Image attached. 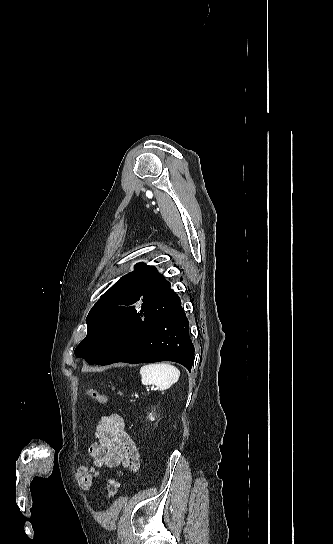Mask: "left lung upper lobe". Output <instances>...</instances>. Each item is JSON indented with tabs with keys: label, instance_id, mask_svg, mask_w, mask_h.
I'll list each match as a JSON object with an SVG mask.
<instances>
[{
	"label": "left lung upper lobe",
	"instance_id": "obj_1",
	"mask_svg": "<svg viewBox=\"0 0 333 544\" xmlns=\"http://www.w3.org/2000/svg\"><path fill=\"white\" fill-rule=\"evenodd\" d=\"M179 301L170 283L155 266L138 263L103 294L87 316L88 334L75 349V355L89 364L101 360L95 332L109 319L128 320L134 325L155 321Z\"/></svg>",
	"mask_w": 333,
	"mask_h": 544
}]
</instances>
